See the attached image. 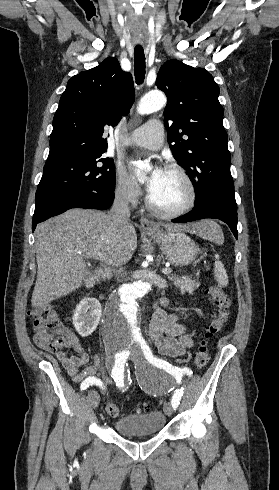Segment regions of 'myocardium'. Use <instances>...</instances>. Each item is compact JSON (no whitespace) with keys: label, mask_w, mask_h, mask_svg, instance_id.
Listing matches in <instances>:
<instances>
[{"label":"myocardium","mask_w":279,"mask_h":490,"mask_svg":"<svg viewBox=\"0 0 279 490\" xmlns=\"http://www.w3.org/2000/svg\"><path fill=\"white\" fill-rule=\"evenodd\" d=\"M165 170L177 174L184 181L188 191V196L179 207L171 210L156 205L150 197L148 198V208L152 213L159 217L172 219L184 215L195 205L197 200V191L192 178L180 165L169 164L165 167Z\"/></svg>","instance_id":"myocardium-1"}]
</instances>
